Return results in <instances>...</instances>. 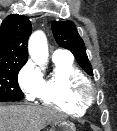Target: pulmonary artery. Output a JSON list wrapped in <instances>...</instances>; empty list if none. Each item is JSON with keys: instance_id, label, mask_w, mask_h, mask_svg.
Wrapping results in <instances>:
<instances>
[{"instance_id": "e3ab8cb5", "label": "pulmonary artery", "mask_w": 117, "mask_h": 131, "mask_svg": "<svg viewBox=\"0 0 117 131\" xmlns=\"http://www.w3.org/2000/svg\"><path fill=\"white\" fill-rule=\"evenodd\" d=\"M69 57H70L69 52L62 49H57L53 52V59L69 58Z\"/></svg>"}]
</instances>
